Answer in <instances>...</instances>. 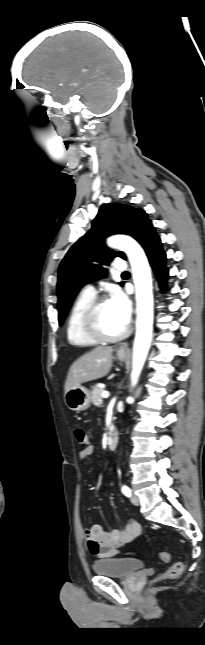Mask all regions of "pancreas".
I'll return each instance as SVG.
<instances>
[{"label": "pancreas", "instance_id": "1", "mask_svg": "<svg viewBox=\"0 0 205 645\" xmlns=\"http://www.w3.org/2000/svg\"><path fill=\"white\" fill-rule=\"evenodd\" d=\"M103 391H104V388H101L98 384L93 387L92 402L95 406H100L102 404Z\"/></svg>", "mask_w": 205, "mask_h": 645}]
</instances>
